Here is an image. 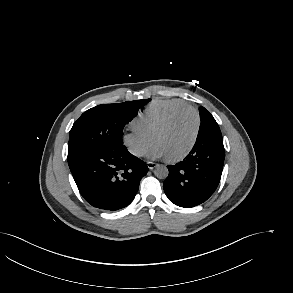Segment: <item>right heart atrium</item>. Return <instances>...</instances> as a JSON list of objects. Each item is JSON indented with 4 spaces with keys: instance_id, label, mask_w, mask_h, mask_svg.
Returning <instances> with one entry per match:
<instances>
[{
    "instance_id": "obj_1",
    "label": "right heart atrium",
    "mask_w": 293,
    "mask_h": 293,
    "mask_svg": "<svg viewBox=\"0 0 293 293\" xmlns=\"http://www.w3.org/2000/svg\"><path fill=\"white\" fill-rule=\"evenodd\" d=\"M123 144L136 157L143 156L151 144V138L132 128L124 133Z\"/></svg>"
}]
</instances>
